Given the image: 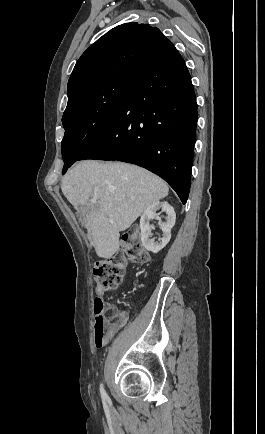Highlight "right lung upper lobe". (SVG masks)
<instances>
[{
    "mask_svg": "<svg viewBox=\"0 0 265 434\" xmlns=\"http://www.w3.org/2000/svg\"><path fill=\"white\" fill-rule=\"evenodd\" d=\"M172 46L156 27L138 23L119 25L82 54L68 81V90L107 76H137Z\"/></svg>",
    "mask_w": 265,
    "mask_h": 434,
    "instance_id": "cb5924a9",
    "label": "right lung upper lobe"
}]
</instances>
